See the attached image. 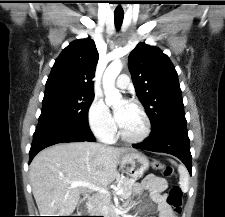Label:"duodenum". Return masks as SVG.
<instances>
[{"instance_id": "410a0bca", "label": "duodenum", "mask_w": 225, "mask_h": 217, "mask_svg": "<svg viewBox=\"0 0 225 217\" xmlns=\"http://www.w3.org/2000/svg\"><path fill=\"white\" fill-rule=\"evenodd\" d=\"M83 212L84 213H87V209L86 208H84L83 209ZM115 217H125L122 213H117L116 215H115Z\"/></svg>"}]
</instances>
